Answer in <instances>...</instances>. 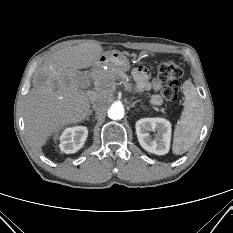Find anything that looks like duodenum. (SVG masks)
Listing matches in <instances>:
<instances>
[{
  "label": "duodenum",
  "instance_id": "duodenum-1",
  "mask_svg": "<svg viewBox=\"0 0 233 233\" xmlns=\"http://www.w3.org/2000/svg\"><path fill=\"white\" fill-rule=\"evenodd\" d=\"M102 63H103V61H102V60H98V61L96 62V66H100V65H102Z\"/></svg>",
  "mask_w": 233,
  "mask_h": 233
}]
</instances>
